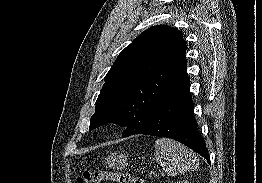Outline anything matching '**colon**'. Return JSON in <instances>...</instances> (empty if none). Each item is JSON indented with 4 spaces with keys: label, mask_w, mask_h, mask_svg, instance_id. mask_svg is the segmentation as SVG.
Here are the masks:
<instances>
[{
    "label": "colon",
    "mask_w": 262,
    "mask_h": 183,
    "mask_svg": "<svg viewBox=\"0 0 262 183\" xmlns=\"http://www.w3.org/2000/svg\"><path fill=\"white\" fill-rule=\"evenodd\" d=\"M105 181L114 183H146L143 178L124 172L108 170H87L77 178V183H102Z\"/></svg>",
    "instance_id": "5ec220e1"
}]
</instances>
